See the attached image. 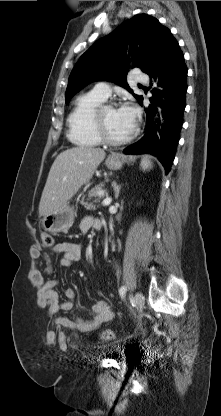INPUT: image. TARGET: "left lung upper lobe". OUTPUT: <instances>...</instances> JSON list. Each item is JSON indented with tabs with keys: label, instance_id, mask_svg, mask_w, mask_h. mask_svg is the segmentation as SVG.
Wrapping results in <instances>:
<instances>
[{
	"label": "left lung upper lobe",
	"instance_id": "1",
	"mask_svg": "<svg viewBox=\"0 0 221 416\" xmlns=\"http://www.w3.org/2000/svg\"><path fill=\"white\" fill-rule=\"evenodd\" d=\"M169 29L147 14H138L121 24L113 33L98 40L78 60L68 80L66 103L84 86L95 80L120 84L140 102L126 81L130 68L143 72Z\"/></svg>",
	"mask_w": 221,
	"mask_h": 416
}]
</instances>
